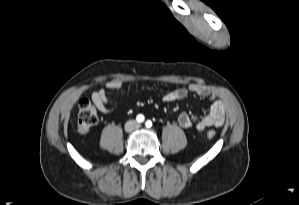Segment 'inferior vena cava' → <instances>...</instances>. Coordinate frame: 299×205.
Wrapping results in <instances>:
<instances>
[{
    "instance_id": "obj_1",
    "label": "inferior vena cava",
    "mask_w": 299,
    "mask_h": 205,
    "mask_svg": "<svg viewBox=\"0 0 299 205\" xmlns=\"http://www.w3.org/2000/svg\"><path fill=\"white\" fill-rule=\"evenodd\" d=\"M134 127H137V123L135 122V126Z\"/></svg>"
}]
</instances>
